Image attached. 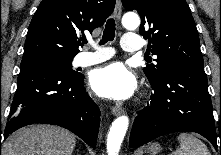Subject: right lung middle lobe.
I'll return each instance as SVG.
<instances>
[{"instance_id": "1", "label": "right lung middle lobe", "mask_w": 221, "mask_h": 155, "mask_svg": "<svg viewBox=\"0 0 221 155\" xmlns=\"http://www.w3.org/2000/svg\"><path fill=\"white\" fill-rule=\"evenodd\" d=\"M73 57H63L56 54H39L32 56H24L22 62L25 61H47L53 63L60 68H62L67 74H77L76 71L72 70V62Z\"/></svg>"}]
</instances>
